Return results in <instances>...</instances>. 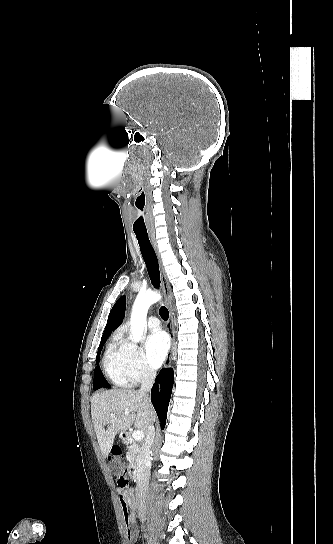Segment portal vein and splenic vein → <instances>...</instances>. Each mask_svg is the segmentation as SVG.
Returning a JSON list of instances; mask_svg holds the SVG:
<instances>
[{"mask_svg": "<svg viewBox=\"0 0 333 544\" xmlns=\"http://www.w3.org/2000/svg\"><path fill=\"white\" fill-rule=\"evenodd\" d=\"M125 414H127V413H125ZM132 437H133V439L139 441V440L143 439L144 433L141 430H136V431H133Z\"/></svg>", "mask_w": 333, "mask_h": 544, "instance_id": "18ae733b", "label": "portal vein and splenic vein"}]
</instances>
